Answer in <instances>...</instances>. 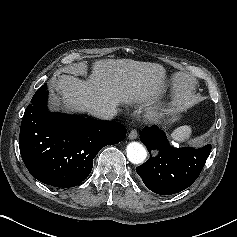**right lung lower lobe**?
<instances>
[{"instance_id": "1", "label": "right lung lower lobe", "mask_w": 237, "mask_h": 237, "mask_svg": "<svg viewBox=\"0 0 237 237\" xmlns=\"http://www.w3.org/2000/svg\"><path fill=\"white\" fill-rule=\"evenodd\" d=\"M47 86H41L25 110L19 147L23 162L37 180L55 187L80 184L93 159L106 145L117 144L126 128L115 121L49 113Z\"/></svg>"}]
</instances>
